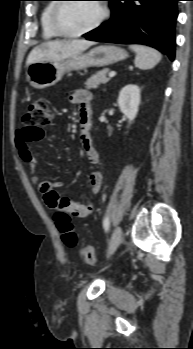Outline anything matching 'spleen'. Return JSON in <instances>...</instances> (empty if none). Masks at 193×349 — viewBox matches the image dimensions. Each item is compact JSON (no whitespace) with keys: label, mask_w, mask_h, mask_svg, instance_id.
<instances>
[{"label":"spleen","mask_w":193,"mask_h":349,"mask_svg":"<svg viewBox=\"0 0 193 349\" xmlns=\"http://www.w3.org/2000/svg\"><path fill=\"white\" fill-rule=\"evenodd\" d=\"M130 49L136 53L135 66L142 70L153 68L162 59L161 53L151 47L130 45Z\"/></svg>","instance_id":"3e777b00"}]
</instances>
